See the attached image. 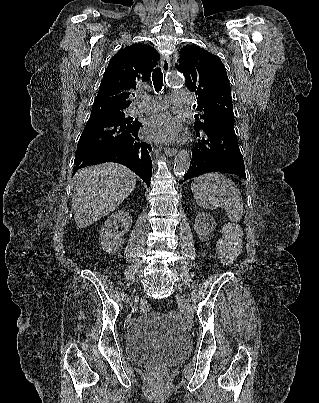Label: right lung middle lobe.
Returning <instances> with one entry per match:
<instances>
[{"label":"right lung middle lobe","mask_w":319,"mask_h":403,"mask_svg":"<svg viewBox=\"0 0 319 403\" xmlns=\"http://www.w3.org/2000/svg\"><path fill=\"white\" fill-rule=\"evenodd\" d=\"M126 107L109 106V105H93L90 120L95 119H113L128 121L122 109Z\"/></svg>","instance_id":"1"}]
</instances>
